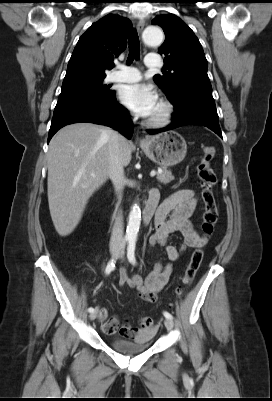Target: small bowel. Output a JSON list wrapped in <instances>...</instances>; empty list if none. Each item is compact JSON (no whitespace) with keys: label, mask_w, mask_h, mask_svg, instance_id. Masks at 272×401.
I'll return each mask as SVG.
<instances>
[{"label":"small bowel","mask_w":272,"mask_h":401,"mask_svg":"<svg viewBox=\"0 0 272 401\" xmlns=\"http://www.w3.org/2000/svg\"><path fill=\"white\" fill-rule=\"evenodd\" d=\"M152 192H157L152 190ZM197 206V199L190 189H183L175 192L166 198L157 208L154 223L155 232L150 237V244L160 246L168 258V263L157 262L153 270L145 279L139 275L129 277L126 270H120L119 283L123 287H131L137 290V297L146 302H155L158 292L168 283L172 273V262L178 260L186 249L202 247L206 244L207 238L201 236L194 228L190 218ZM172 233H180L184 238V245L177 248L168 243V237ZM101 314L105 313L104 308H98ZM103 331L107 335H115L117 332L129 340H136L147 334L155 333L156 326L152 323L142 322L138 327L125 322L120 326L116 317L108 318L103 324Z\"/></svg>","instance_id":"1"}]
</instances>
